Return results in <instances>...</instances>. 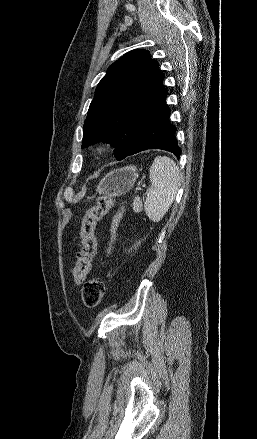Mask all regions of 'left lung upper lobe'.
I'll return each mask as SVG.
<instances>
[{
    "label": "left lung upper lobe",
    "instance_id": "obj_1",
    "mask_svg": "<svg viewBox=\"0 0 257 439\" xmlns=\"http://www.w3.org/2000/svg\"><path fill=\"white\" fill-rule=\"evenodd\" d=\"M164 74L146 50L135 49L114 62L99 82L83 127L82 148L105 141L124 159L134 147L140 128L166 94Z\"/></svg>",
    "mask_w": 257,
    "mask_h": 439
}]
</instances>
